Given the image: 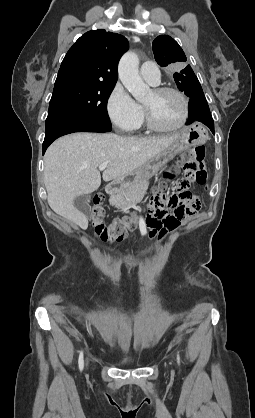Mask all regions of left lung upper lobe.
Listing matches in <instances>:
<instances>
[{
  "instance_id": "5c2ea615",
  "label": "left lung upper lobe",
  "mask_w": 255,
  "mask_h": 418,
  "mask_svg": "<svg viewBox=\"0 0 255 418\" xmlns=\"http://www.w3.org/2000/svg\"><path fill=\"white\" fill-rule=\"evenodd\" d=\"M155 60L160 66L172 65L177 68L173 74L179 90L188 97L204 96L198 78L190 65L184 67L186 56L178 43L168 35H160L152 43ZM181 67H184L181 69Z\"/></svg>"
}]
</instances>
